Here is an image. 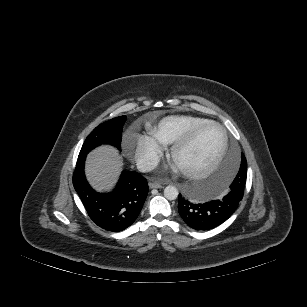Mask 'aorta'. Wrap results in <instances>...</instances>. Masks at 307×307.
I'll return each mask as SVG.
<instances>
[{
  "label": "aorta",
  "mask_w": 307,
  "mask_h": 307,
  "mask_svg": "<svg viewBox=\"0 0 307 307\" xmlns=\"http://www.w3.org/2000/svg\"><path fill=\"white\" fill-rule=\"evenodd\" d=\"M178 189L175 186L169 185L164 189V196L168 200H175L178 197Z\"/></svg>",
  "instance_id": "762f6f07"
}]
</instances>
